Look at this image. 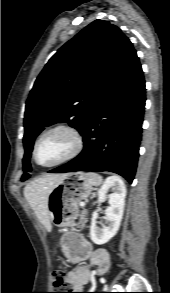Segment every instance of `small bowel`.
Instances as JSON below:
<instances>
[{"mask_svg":"<svg viewBox=\"0 0 170 293\" xmlns=\"http://www.w3.org/2000/svg\"><path fill=\"white\" fill-rule=\"evenodd\" d=\"M64 254L68 260L82 262L88 260L90 266L95 267L91 273L88 266L77 265L67 275V284L73 291H80L91 283L94 277L103 275L110 268V258L106 250H93L90 242L77 231H67L63 235ZM79 293V292H75Z\"/></svg>","mask_w":170,"mask_h":293,"instance_id":"1","label":"small bowel"}]
</instances>
